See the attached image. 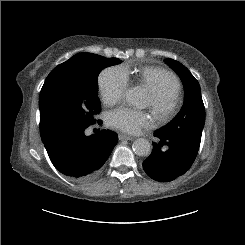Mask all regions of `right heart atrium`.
<instances>
[{
	"mask_svg": "<svg viewBox=\"0 0 245 245\" xmlns=\"http://www.w3.org/2000/svg\"><path fill=\"white\" fill-rule=\"evenodd\" d=\"M128 82L124 68L111 66L104 69L98 77V87L102 101L106 104L118 101L124 95Z\"/></svg>",
	"mask_w": 245,
	"mask_h": 245,
	"instance_id": "d8ad5b80",
	"label": "right heart atrium"
}]
</instances>
